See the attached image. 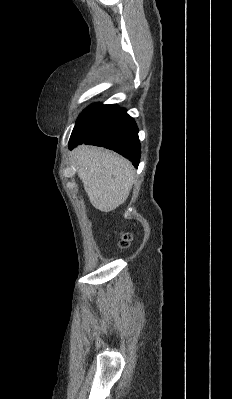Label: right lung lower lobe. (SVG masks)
I'll return each instance as SVG.
<instances>
[{
	"label": "right lung lower lobe",
	"mask_w": 232,
	"mask_h": 399,
	"mask_svg": "<svg viewBox=\"0 0 232 399\" xmlns=\"http://www.w3.org/2000/svg\"><path fill=\"white\" fill-rule=\"evenodd\" d=\"M82 143L114 150L132 161L135 167L140 162L138 128L126 110L116 104H93L80 114L69 148Z\"/></svg>",
	"instance_id": "98d812e1"
}]
</instances>
